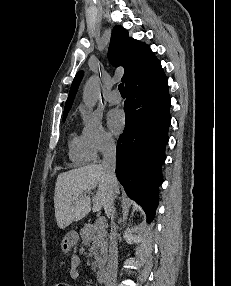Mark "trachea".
Masks as SVG:
<instances>
[{"label":"trachea","instance_id":"trachea-1","mask_svg":"<svg viewBox=\"0 0 231 286\" xmlns=\"http://www.w3.org/2000/svg\"><path fill=\"white\" fill-rule=\"evenodd\" d=\"M119 92L121 93V95H125V87L123 83H120L118 86Z\"/></svg>","mask_w":231,"mask_h":286}]
</instances>
